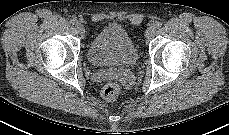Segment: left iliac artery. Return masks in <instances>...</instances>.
<instances>
[{
    "instance_id": "obj_1",
    "label": "left iliac artery",
    "mask_w": 229,
    "mask_h": 135,
    "mask_svg": "<svg viewBox=\"0 0 229 135\" xmlns=\"http://www.w3.org/2000/svg\"><path fill=\"white\" fill-rule=\"evenodd\" d=\"M161 26H162V23H161V22H159V21L156 22V24H155V27H156V28H160Z\"/></svg>"
}]
</instances>
